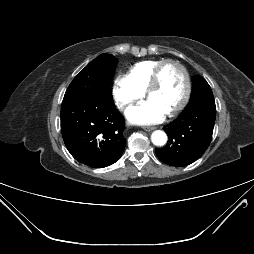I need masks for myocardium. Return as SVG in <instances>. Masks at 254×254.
<instances>
[{
  "mask_svg": "<svg viewBox=\"0 0 254 254\" xmlns=\"http://www.w3.org/2000/svg\"><path fill=\"white\" fill-rule=\"evenodd\" d=\"M168 64H173L177 66L181 70L183 74V78H184V93H183L182 99L180 100V102L177 104L175 108H173L170 112H168V115L174 116L186 106L191 94L190 76L186 67L181 62L174 59L163 60L154 70L151 81L145 92H146V96L149 97L151 92H153L159 86L161 73L164 67Z\"/></svg>",
  "mask_w": 254,
  "mask_h": 254,
  "instance_id": "myocardium-1",
  "label": "myocardium"
}]
</instances>
